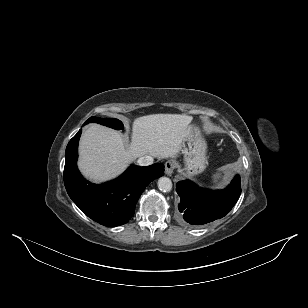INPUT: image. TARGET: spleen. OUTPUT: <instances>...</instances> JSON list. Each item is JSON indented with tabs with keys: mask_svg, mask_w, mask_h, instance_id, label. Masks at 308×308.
I'll return each instance as SVG.
<instances>
[{
	"mask_svg": "<svg viewBox=\"0 0 308 308\" xmlns=\"http://www.w3.org/2000/svg\"><path fill=\"white\" fill-rule=\"evenodd\" d=\"M220 178H221V173L216 172V173L213 174V182L214 183H217Z\"/></svg>",
	"mask_w": 308,
	"mask_h": 308,
	"instance_id": "3e777b00",
	"label": "spleen"
}]
</instances>
